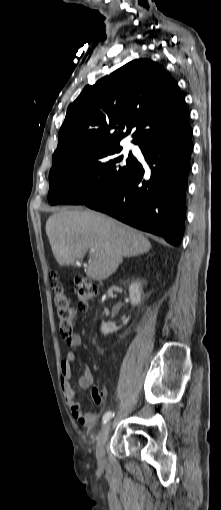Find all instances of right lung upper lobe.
Masks as SVG:
<instances>
[{"label": "right lung upper lobe", "instance_id": "right-lung-upper-lobe-1", "mask_svg": "<svg viewBox=\"0 0 221 510\" xmlns=\"http://www.w3.org/2000/svg\"><path fill=\"white\" fill-rule=\"evenodd\" d=\"M187 126L185 97L177 82L160 64L133 60L95 85H87L69 105L53 166L76 152L119 146L132 131L133 143L141 147Z\"/></svg>", "mask_w": 221, "mask_h": 510}]
</instances>
